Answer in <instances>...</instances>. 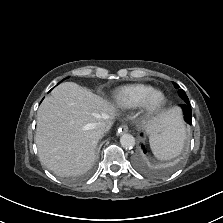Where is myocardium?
Wrapping results in <instances>:
<instances>
[{"label": "myocardium", "instance_id": "f54148a6", "mask_svg": "<svg viewBox=\"0 0 223 223\" xmlns=\"http://www.w3.org/2000/svg\"><path fill=\"white\" fill-rule=\"evenodd\" d=\"M156 94H159L161 99L159 102L153 104L151 102L152 97ZM166 102V96L164 94L163 91H161L160 89H151L148 93H146V95L143 97L139 107L140 110L144 113L147 114H153L157 111H159L165 104Z\"/></svg>", "mask_w": 223, "mask_h": 223}]
</instances>
